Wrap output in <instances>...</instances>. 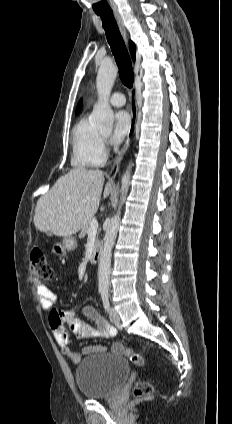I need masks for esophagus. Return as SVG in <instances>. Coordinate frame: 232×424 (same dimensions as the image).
I'll return each mask as SVG.
<instances>
[{"label": "esophagus", "instance_id": "1", "mask_svg": "<svg viewBox=\"0 0 232 424\" xmlns=\"http://www.w3.org/2000/svg\"><path fill=\"white\" fill-rule=\"evenodd\" d=\"M114 17L116 19V22L118 24V27L120 29V32L124 38V40L127 42V33H126V29L123 23V19L120 15L119 12H114ZM130 111H131V128H130V132L127 135L126 141L121 149V151L119 152V154L117 155L116 159L114 160L110 171H109V176L111 177H115L119 167H120V163L121 160L123 159L124 154L126 153L131 140L133 138L134 132H135V128H136V122H137V103H136V87L134 86L131 90V95H130Z\"/></svg>", "mask_w": 232, "mask_h": 424}]
</instances>
